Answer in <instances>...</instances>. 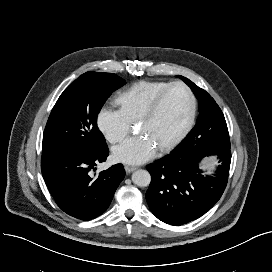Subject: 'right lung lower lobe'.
Listing matches in <instances>:
<instances>
[{
  "label": "right lung lower lobe",
  "mask_w": 272,
  "mask_h": 272,
  "mask_svg": "<svg viewBox=\"0 0 272 272\" xmlns=\"http://www.w3.org/2000/svg\"><path fill=\"white\" fill-rule=\"evenodd\" d=\"M108 155L107 146L91 152H42V175L61 210L77 219L90 220L108 208L125 176L123 165L116 164L93 177L97 163L105 161Z\"/></svg>",
  "instance_id": "1"
}]
</instances>
